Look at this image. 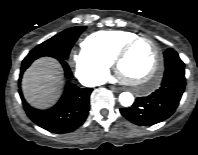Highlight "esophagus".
I'll return each mask as SVG.
<instances>
[{
    "label": "esophagus",
    "mask_w": 198,
    "mask_h": 155,
    "mask_svg": "<svg viewBox=\"0 0 198 155\" xmlns=\"http://www.w3.org/2000/svg\"><path fill=\"white\" fill-rule=\"evenodd\" d=\"M110 89H111L113 92H120V91H121L120 88H117V87H114V86H111Z\"/></svg>",
    "instance_id": "34e87169"
}]
</instances>
